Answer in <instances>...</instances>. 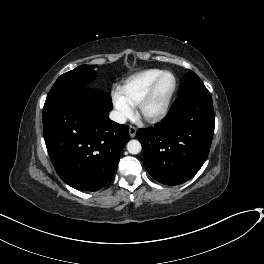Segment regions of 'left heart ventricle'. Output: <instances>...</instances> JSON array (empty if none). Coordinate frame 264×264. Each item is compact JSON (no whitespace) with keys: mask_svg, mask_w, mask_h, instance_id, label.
<instances>
[{"mask_svg":"<svg viewBox=\"0 0 264 264\" xmlns=\"http://www.w3.org/2000/svg\"><path fill=\"white\" fill-rule=\"evenodd\" d=\"M171 87H172V78L170 76H165L159 83L153 97L144 107V112L149 114L157 111L162 105L163 101L165 100Z\"/></svg>","mask_w":264,"mask_h":264,"instance_id":"b2bd125f","label":"left heart ventricle"}]
</instances>
